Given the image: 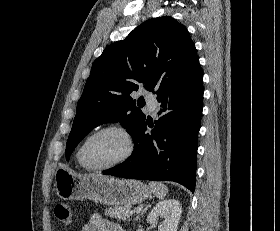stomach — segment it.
I'll return each mask as SVG.
<instances>
[{"mask_svg":"<svg viewBox=\"0 0 280 231\" xmlns=\"http://www.w3.org/2000/svg\"><path fill=\"white\" fill-rule=\"evenodd\" d=\"M55 189L62 199H92L104 205H132L150 197L148 185L137 179L117 177H91L75 173L70 167H58L55 171Z\"/></svg>","mask_w":280,"mask_h":231,"instance_id":"stomach-1","label":"stomach"}]
</instances>
